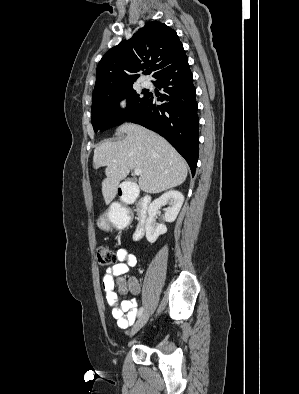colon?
<instances>
[{
	"label": "colon",
	"mask_w": 299,
	"mask_h": 394,
	"mask_svg": "<svg viewBox=\"0 0 299 394\" xmlns=\"http://www.w3.org/2000/svg\"><path fill=\"white\" fill-rule=\"evenodd\" d=\"M116 259L117 257L114 250L109 246L103 245L97 248V260L100 266L103 267L110 266L116 262ZM118 286L122 291L129 290L130 281L121 279L118 281Z\"/></svg>",
	"instance_id": "obj_1"
}]
</instances>
